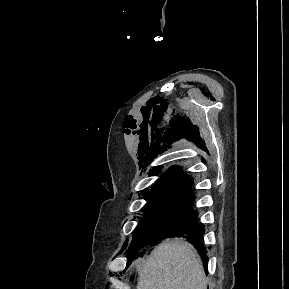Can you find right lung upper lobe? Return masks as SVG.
I'll return each instance as SVG.
<instances>
[{
	"mask_svg": "<svg viewBox=\"0 0 289 289\" xmlns=\"http://www.w3.org/2000/svg\"><path fill=\"white\" fill-rule=\"evenodd\" d=\"M159 173V172H157ZM192 179L179 172L178 167H173L168 175H164L158 183L143 194L144 197H169V196H192Z\"/></svg>",
	"mask_w": 289,
	"mask_h": 289,
	"instance_id": "1",
	"label": "right lung upper lobe"
}]
</instances>
